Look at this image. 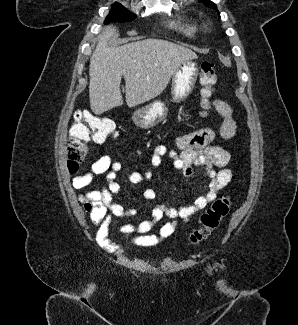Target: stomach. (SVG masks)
I'll list each match as a JSON object with an SVG mask.
<instances>
[{
	"instance_id": "stomach-1",
	"label": "stomach",
	"mask_w": 298,
	"mask_h": 325,
	"mask_svg": "<svg viewBox=\"0 0 298 325\" xmlns=\"http://www.w3.org/2000/svg\"><path fill=\"white\" fill-rule=\"evenodd\" d=\"M199 68L194 60H184L179 64L171 80V98L173 102H182L194 90L198 78ZM168 114V106L163 100H153L143 108L133 112L132 120L140 128H152L164 120Z\"/></svg>"
}]
</instances>
